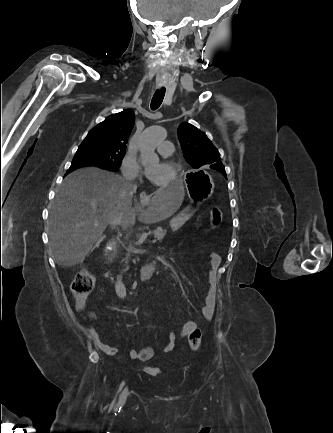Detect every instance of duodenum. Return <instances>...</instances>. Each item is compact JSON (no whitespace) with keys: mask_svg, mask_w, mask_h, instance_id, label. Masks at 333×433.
I'll return each mask as SVG.
<instances>
[{"mask_svg":"<svg viewBox=\"0 0 333 433\" xmlns=\"http://www.w3.org/2000/svg\"><path fill=\"white\" fill-rule=\"evenodd\" d=\"M164 258H159L152 263L146 264L139 269V278L142 281L150 279L160 267Z\"/></svg>","mask_w":333,"mask_h":433,"instance_id":"410a0bca","label":"duodenum"}]
</instances>
